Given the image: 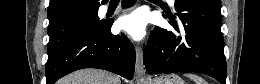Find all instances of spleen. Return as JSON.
Here are the masks:
<instances>
[{
	"mask_svg": "<svg viewBox=\"0 0 260 84\" xmlns=\"http://www.w3.org/2000/svg\"><path fill=\"white\" fill-rule=\"evenodd\" d=\"M186 76L190 79H192L196 84H207L205 79L200 77L199 75L193 74V73H188Z\"/></svg>",
	"mask_w": 260,
	"mask_h": 84,
	"instance_id": "obj_1",
	"label": "spleen"
}]
</instances>
